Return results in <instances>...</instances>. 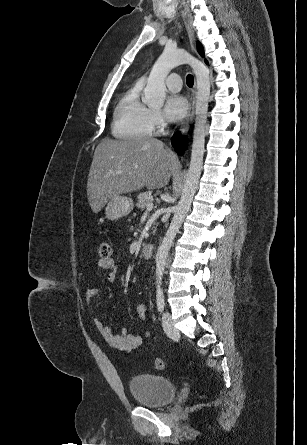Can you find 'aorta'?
<instances>
[{"instance_id": "obj_1", "label": "aorta", "mask_w": 307, "mask_h": 445, "mask_svg": "<svg viewBox=\"0 0 307 445\" xmlns=\"http://www.w3.org/2000/svg\"><path fill=\"white\" fill-rule=\"evenodd\" d=\"M178 64H190L195 72L197 82L196 102H195V128L191 152L190 166L183 186L181 198L175 208L174 216L171 220L170 227L161 243L155 263H156V289L160 291L162 287L163 273L165 271L166 259L170 251V247L183 223V220L190 208L194 192L198 186L205 144V124L207 120V110L210 94V76L209 70L205 64L192 56L183 48H173V46H165L162 54L157 58L152 70L148 76L146 88H144L145 96L142 102L147 106H163L166 96L165 78L170 70Z\"/></svg>"}]
</instances>
